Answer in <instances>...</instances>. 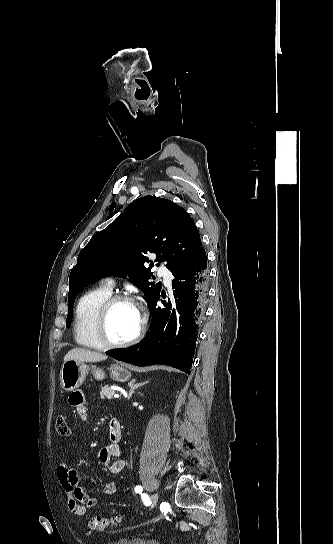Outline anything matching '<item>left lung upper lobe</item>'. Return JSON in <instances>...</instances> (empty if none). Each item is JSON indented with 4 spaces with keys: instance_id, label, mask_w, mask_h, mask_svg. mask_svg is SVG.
Segmentation results:
<instances>
[{
    "instance_id": "left-lung-upper-lobe-1",
    "label": "left lung upper lobe",
    "mask_w": 333,
    "mask_h": 544,
    "mask_svg": "<svg viewBox=\"0 0 333 544\" xmlns=\"http://www.w3.org/2000/svg\"><path fill=\"white\" fill-rule=\"evenodd\" d=\"M201 246L197 227L182 207L155 196L137 199L80 252L69 278L66 326L71 325L72 306L83 287L108 274L123 278L128 275L150 304L160 294L162 283L149 281L154 279L150 271L154 264L147 255L155 253L156 265L166 262L173 273L186 265Z\"/></svg>"
}]
</instances>
